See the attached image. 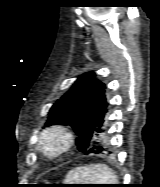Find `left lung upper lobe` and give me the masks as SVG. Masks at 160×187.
<instances>
[{
  "label": "left lung upper lobe",
  "mask_w": 160,
  "mask_h": 187,
  "mask_svg": "<svg viewBox=\"0 0 160 187\" xmlns=\"http://www.w3.org/2000/svg\"><path fill=\"white\" fill-rule=\"evenodd\" d=\"M94 72L78 77L72 88L50 108L46 125H70L77 134L76 144L81 152L91 147V137L108 104L105 85Z\"/></svg>",
  "instance_id": "5c2ea615"
}]
</instances>
